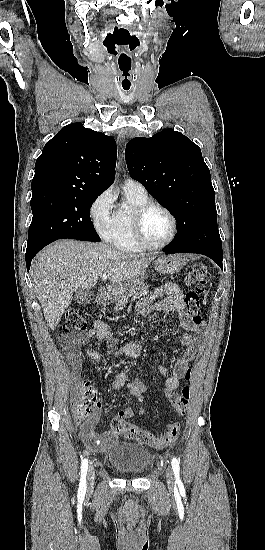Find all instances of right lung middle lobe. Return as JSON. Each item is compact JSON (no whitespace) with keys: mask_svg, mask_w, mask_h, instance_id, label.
<instances>
[{"mask_svg":"<svg viewBox=\"0 0 265 550\" xmlns=\"http://www.w3.org/2000/svg\"><path fill=\"white\" fill-rule=\"evenodd\" d=\"M99 195H66L55 192L32 194V222L26 253L42 249L65 237L100 241L90 218V208Z\"/></svg>","mask_w":265,"mask_h":550,"instance_id":"obj_1","label":"right lung middle lobe"}]
</instances>
